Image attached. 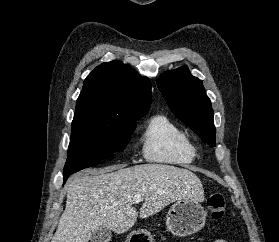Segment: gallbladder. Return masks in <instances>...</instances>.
I'll list each match as a JSON object with an SVG mask.
<instances>
[{
  "label": "gallbladder",
  "mask_w": 279,
  "mask_h": 242,
  "mask_svg": "<svg viewBox=\"0 0 279 242\" xmlns=\"http://www.w3.org/2000/svg\"><path fill=\"white\" fill-rule=\"evenodd\" d=\"M111 236L112 233L109 229L101 227L93 233L90 242H109Z\"/></svg>",
  "instance_id": "bac80fb5"
}]
</instances>
